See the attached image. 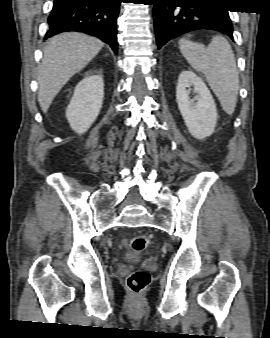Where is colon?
I'll return each instance as SVG.
<instances>
[{"instance_id": "obj_1", "label": "colon", "mask_w": 270, "mask_h": 338, "mask_svg": "<svg viewBox=\"0 0 270 338\" xmlns=\"http://www.w3.org/2000/svg\"><path fill=\"white\" fill-rule=\"evenodd\" d=\"M149 243L150 240L145 235H135L129 240L131 249L136 252H143ZM149 281L150 276L147 272L137 270L128 276L127 285L133 293L139 294L147 287Z\"/></svg>"}]
</instances>
